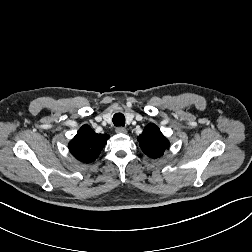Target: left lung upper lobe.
<instances>
[{"instance_id": "obj_1", "label": "left lung upper lobe", "mask_w": 252, "mask_h": 252, "mask_svg": "<svg viewBox=\"0 0 252 252\" xmlns=\"http://www.w3.org/2000/svg\"><path fill=\"white\" fill-rule=\"evenodd\" d=\"M142 151L151 158H157L164 154L169 147V141L153 123L148 124L138 137Z\"/></svg>"}]
</instances>
